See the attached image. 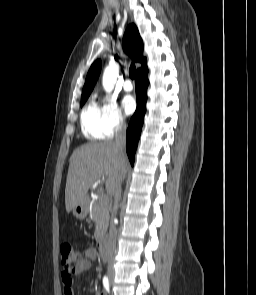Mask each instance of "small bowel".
Masks as SVG:
<instances>
[{
	"label": "small bowel",
	"mask_w": 256,
	"mask_h": 295,
	"mask_svg": "<svg viewBox=\"0 0 256 295\" xmlns=\"http://www.w3.org/2000/svg\"><path fill=\"white\" fill-rule=\"evenodd\" d=\"M97 258V252L93 247L84 250L83 256L72 270H64L61 279L64 288V295H80L74 292L73 275L81 274L91 268L92 263ZM96 295H106L102 289H98Z\"/></svg>",
	"instance_id": "small-bowel-1"
}]
</instances>
